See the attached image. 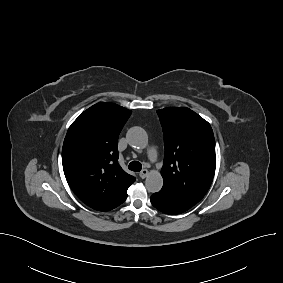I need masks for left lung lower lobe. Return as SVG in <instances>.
Returning a JSON list of instances; mask_svg holds the SVG:
<instances>
[{"label": "left lung lower lobe", "instance_id": "0a47b994", "mask_svg": "<svg viewBox=\"0 0 283 283\" xmlns=\"http://www.w3.org/2000/svg\"><path fill=\"white\" fill-rule=\"evenodd\" d=\"M150 201L155 208L166 214H180L189 209L177 196L165 188L154 193Z\"/></svg>", "mask_w": 283, "mask_h": 283}]
</instances>
